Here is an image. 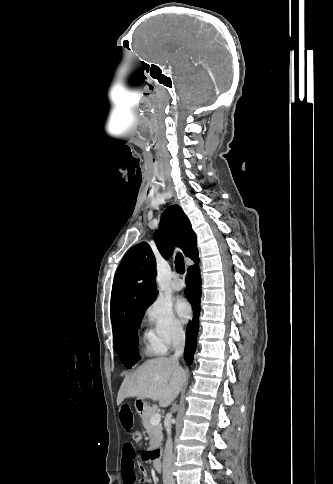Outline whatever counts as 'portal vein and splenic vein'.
<instances>
[{
    "mask_svg": "<svg viewBox=\"0 0 333 484\" xmlns=\"http://www.w3.org/2000/svg\"><path fill=\"white\" fill-rule=\"evenodd\" d=\"M160 421H161V415L159 413L153 414L150 419L151 425H157L160 423Z\"/></svg>",
    "mask_w": 333,
    "mask_h": 484,
    "instance_id": "1",
    "label": "portal vein and splenic vein"
}]
</instances>
